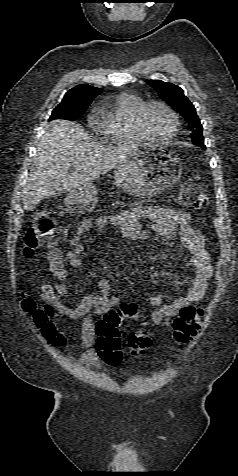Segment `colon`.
<instances>
[{
  "instance_id": "1",
  "label": "colon",
  "mask_w": 238,
  "mask_h": 476,
  "mask_svg": "<svg viewBox=\"0 0 238 476\" xmlns=\"http://www.w3.org/2000/svg\"><path fill=\"white\" fill-rule=\"evenodd\" d=\"M182 207L188 210H202L208 204V198L203 189L194 182L183 184L179 196ZM56 232V223L46 211H38L29 225L24 238V254L31 257L43 246H46ZM52 267L61 272L59 257L53 255ZM24 308L34 313V322L40 328L45 339L54 345L65 344L64 335L58 330L51 320L52 309L45 305L35 308L31 300L24 302ZM137 315L134 304H121L119 308L111 309L105 313L97 323L96 350L100 358L108 365L117 366L122 359V349L132 354H143L151 345L148 332L141 328L126 336L123 343L120 339L119 326L124 318ZM204 310L200 307L187 306L180 310L173 320V338L177 345L189 344L197 335L203 325ZM146 320L142 322L143 325Z\"/></svg>"
}]
</instances>
